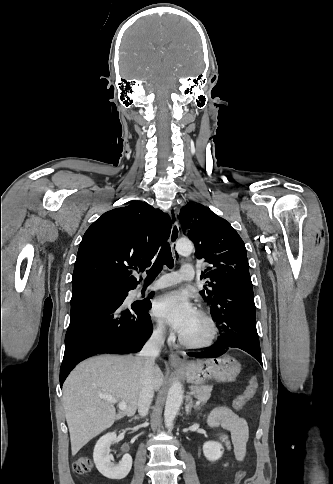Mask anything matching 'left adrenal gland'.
I'll use <instances>...</instances> for the list:
<instances>
[{
  "mask_svg": "<svg viewBox=\"0 0 333 484\" xmlns=\"http://www.w3.org/2000/svg\"><path fill=\"white\" fill-rule=\"evenodd\" d=\"M192 408H194V409H200L198 406H196V405L193 404L192 397L188 396L186 398V404H185L186 415H189V413L191 412V409Z\"/></svg>",
  "mask_w": 333,
  "mask_h": 484,
  "instance_id": "left-adrenal-gland-1",
  "label": "left adrenal gland"
}]
</instances>
